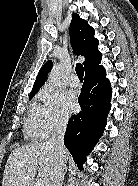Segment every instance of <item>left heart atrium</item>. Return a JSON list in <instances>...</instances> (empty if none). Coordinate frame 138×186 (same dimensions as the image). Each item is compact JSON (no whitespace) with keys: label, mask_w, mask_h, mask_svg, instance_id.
Wrapping results in <instances>:
<instances>
[{"label":"left heart atrium","mask_w":138,"mask_h":186,"mask_svg":"<svg viewBox=\"0 0 138 186\" xmlns=\"http://www.w3.org/2000/svg\"><path fill=\"white\" fill-rule=\"evenodd\" d=\"M77 108V103L73 93L69 92L64 97V110L67 114L73 113Z\"/></svg>","instance_id":"obj_1"}]
</instances>
